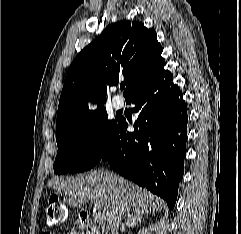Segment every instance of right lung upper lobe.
<instances>
[{
  "mask_svg": "<svg viewBox=\"0 0 241 234\" xmlns=\"http://www.w3.org/2000/svg\"><path fill=\"white\" fill-rule=\"evenodd\" d=\"M154 29L136 21L109 24L85 47L68 69L59 100L56 131L89 117L91 97L104 107L106 85L126 83V99L165 65ZM94 101V100H93ZM97 108V109H98Z\"/></svg>",
  "mask_w": 241,
  "mask_h": 234,
  "instance_id": "cb5924a9",
  "label": "right lung upper lobe"
}]
</instances>
